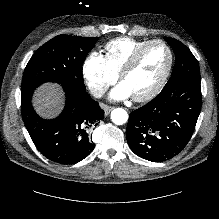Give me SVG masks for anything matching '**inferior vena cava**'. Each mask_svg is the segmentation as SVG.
Returning <instances> with one entry per match:
<instances>
[{"mask_svg": "<svg viewBox=\"0 0 219 219\" xmlns=\"http://www.w3.org/2000/svg\"><path fill=\"white\" fill-rule=\"evenodd\" d=\"M106 92V89L102 86H95L91 88V93L94 97L100 98L102 97Z\"/></svg>", "mask_w": 219, "mask_h": 219, "instance_id": "1", "label": "inferior vena cava"}]
</instances>
